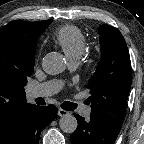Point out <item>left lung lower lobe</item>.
Instances as JSON below:
<instances>
[{
	"instance_id": "0a47b994",
	"label": "left lung lower lobe",
	"mask_w": 144,
	"mask_h": 144,
	"mask_svg": "<svg viewBox=\"0 0 144 144\" xmlns=\"http://www.w3.org/2000/svg\"><path fill=\"white\" fill-rule=\"evenodd\" d=\"M74 115L78 121V127L71 135L72 144H114L120 129L92 116L86 121L83 117Z\"/></svg>"
}]
</instances>
